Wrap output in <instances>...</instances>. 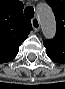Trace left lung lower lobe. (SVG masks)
Masks as SVG:
<instances>
[{"mask_svg": "<svg viewBox=\"0 0 65 89\" xmlns=\"http://www.w3.org/2000/svg\"><path fill=\"white\" fill-rule=\"evenodd\" d=\"M43 44L46 48V53L51 60L56 63L65 64V43L55 40H45Z\"/></svg>", "mask_w": 65, "mask_h": 89, "instance_id": "left-lung-lower-lobe-1", "label": "left lung lower lobe"}]
</instances>
